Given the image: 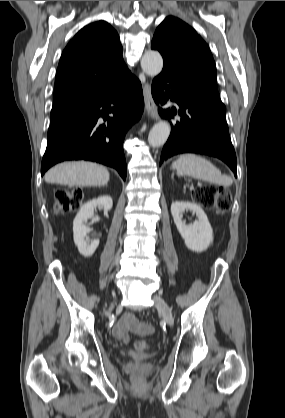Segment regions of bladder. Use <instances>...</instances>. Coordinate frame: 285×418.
<instances>
[{"label": "bladder", "mask_w": 285, "mask_h": 418, "mask_svg": "<svg viewBox=\"0 0 285 418\" xmlns=\"http://www.w3.org/2000/svg\"><path fill=\"white\" fill-rule=\"evenodd\" d=\"M127 357L133 361H143L148 359L150 356L148 354L130 351L127 353Z\"/></svg>", "instance_id": "1"}]
</instances>
